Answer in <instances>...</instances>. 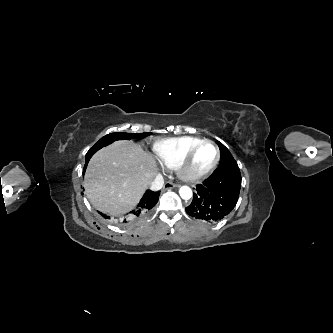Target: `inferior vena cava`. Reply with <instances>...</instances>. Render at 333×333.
Wrapping results in <instances>:
<instances>
[{
    "instance_id": "602c4592",
    "label": "inferior vena cava",
    "mask_w": 333,
    "mask_h": 333,
    "mask_svg": "<svg viewBox=\"0 0 333 333\" xmlns=\"http://www.w3.org/2000/svg\"><path fill=\"white\" fill-rule=\"evenodd\" d=\"M164 184V179L161 174H158L154 180L150 183V189L153 191H159Z\"/></svg>"
}]
</instances>
